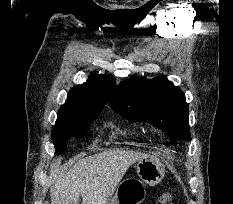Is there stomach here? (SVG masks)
<instances>
[{"label": "stomach", "instance_id": "stomach-1", "mask_svg": "<svg viewBox=\"0 0 233 204\" xmlns=\"http://www.w3.org/2000/svg\"><path fill=\"white\" fill-rule=\"evenodd\" d=\"M136 170L140 180L127 179L122 181L108 204H141L145 197L142 184L157 185L165 175L164 165L159 159L152 156H145L138 160Z\"/></svg>", "mask_w": 233, "mask_h": 204}]
</instances>
